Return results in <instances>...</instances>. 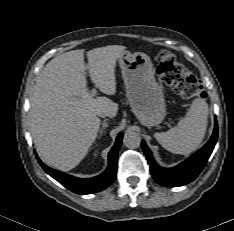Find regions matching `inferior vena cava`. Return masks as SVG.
<instances>
[{
	"instance_id": "inferior-vena-cava-1",
	"label": "inferior vena cava",
	"mask_w": 234,
	"mask_h": 231,
	"mask_svg": "<svg viewBox=\"0 0 234 231\" xmlns=\"http://www.w3.org/2000/svg\"><path fill=\"white\" fill-rule=\"evenodd\" d=\"M98 116H99V117H106V116L111 117V114L108 113V112H106V111H102V112H99V113H98Z\"/></svg>"
}]
</instances>
